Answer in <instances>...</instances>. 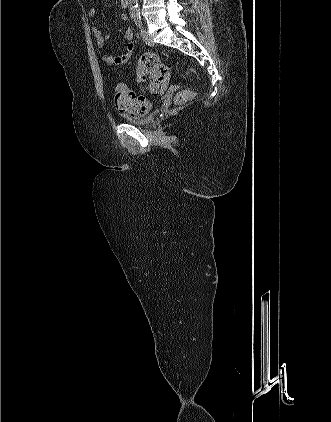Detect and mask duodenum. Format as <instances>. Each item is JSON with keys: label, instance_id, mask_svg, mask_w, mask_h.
Here are the masks:
<instances>
[{"label": "duodenum", "instance_id": "410a0bca", "mask_svg": "<svg viewBox=\"0 0 331 422\" xmlns=\"http://www.w3.org/2000/svg\"><path fill=\"white\" fill-rule=\"evenodd\" d=\"M121 2L124 7H127L129 5L130 0H121Z\"/></svg>", "mask_w": 331, "mask_h": 422}]
</instances>
